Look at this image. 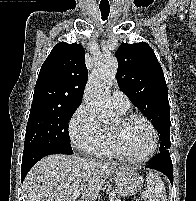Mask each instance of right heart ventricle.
I'll list each match as a JSON object with an SVG mask.
<instances>
[{
    "label": "right heart ventricle",
    "mask_w": 196,
    "mask_h": 201,
    "mask_svg": "<svg viewBox=\"0 0 196 201\" xmlns=\"http://www.w3.org/2000/svg\"><path fill=\"white\" fill-rule=\"evenodd\" d=\"M103 131H104V141L100 146V148L94 153V155L100 158H120V155L118 154L114 146L110 130L107 128H103Z\"/></svg>",
    "instance_id": "e07e8e85"
}]
</instances>
